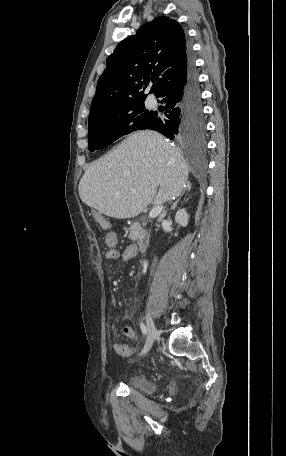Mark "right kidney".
I'll use <instances>...</instances> for the list:
<instances>
[{
  "instance_id": "right-kidney-1",
  "label": "right kidney",
  "mask_w": 286,
  "mask_h": 456,
  "mask_svg": "<svg viewBox=\"0 0 286 456\" xmlns=\"http://www.w3.org/2000/svg\"><path fill=\"white\" fill-rule=\"evenodd\" d=\"M189 215L185 209H179L175 215V222L179 225L186 227L188 224Z\"/></svg>"
}]
</instances>
